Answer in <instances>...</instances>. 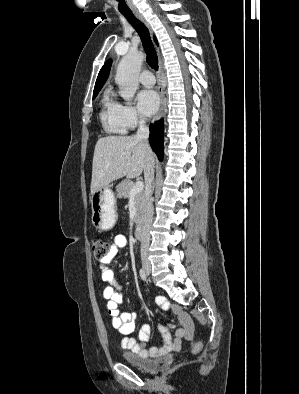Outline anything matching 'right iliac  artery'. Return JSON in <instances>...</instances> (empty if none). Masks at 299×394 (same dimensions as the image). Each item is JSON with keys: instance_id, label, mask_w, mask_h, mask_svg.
Here are the masks:
<instances>
[{"instance_id": "obj_1", "label": "right iliac artery", "mask_w": 299, "mask_h": 394, "mask_svg": "<svg viewBox=\"0 0 299 394\" xmlns=\"http://www.w3.org/2000/svg\"><path fill=\"white\" fill-rule=\"evenodd\" d=\"M139 274H140L141 279L145 281L147 278L145 271L143 269H140Z\"/></svg>"}]
</instances>
